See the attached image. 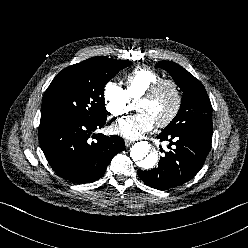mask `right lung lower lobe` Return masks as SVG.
<instances>
[{"label":"right lung lower lobe","mask_w":248,"mask_h":248,"mask_svg":"<svg viewBox=\"0 0 248 248\" xmlns=\"http://www.w3.org/2000/svg\"><path fill=\"white\" fill-rule=\"evenodd\" d=\"M103 121H86L60 116L41 117L39 142L52 169L77 184L91 183L103 176L112 158L125 149L123 139L93 134Z\"/></svg>","instance_id":"98d812e1"}]
</instances>
